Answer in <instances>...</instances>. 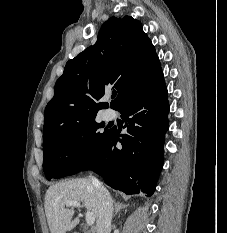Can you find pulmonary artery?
I'll use <instances>...</instances> for the list:
<instances>
[{"label": "pulmonary artery", "mask_w": 227, "mask_h": 233, "mask_svg": "<svg viewBox=\"0 0 227 233\" xmlns=\"http://www.w3.org/2000/svg\"><path fill=\"white\" fill-rule=\"evenodd\" d=\"M106 117H107V119L111 118V114L108 113Z\"/></svg>", "instance_id": "e3ab8cb5"}]
</instances>
